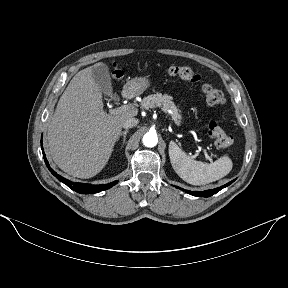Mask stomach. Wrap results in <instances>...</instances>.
I'll return each mask as SVG.
<instances>
[{
	"instance_id": "0dacf381",
	"label": "stomach",
	"mask_w": 288,
	"mask_h": 288,
	"mask_svg": "<svg viewBox=\"0 0 288 288\" xmlns=\"http://www.w3.org/2000/svg\"><path fill=\"white\" fill-rule=\"evenodd\" d=\"M149 86V77H135L125 84L124 90L133 97L141 95Z\"/></svg>"
}]
</instances>
